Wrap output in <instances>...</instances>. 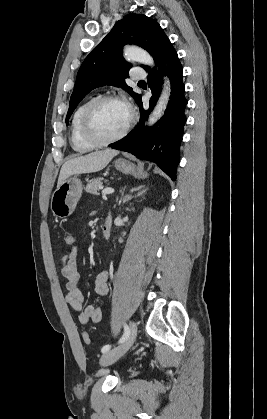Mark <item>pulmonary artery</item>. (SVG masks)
<instances>
[{"label":"pulmonary artery","mask_w":267,"mask_h":419,"mask_svg":"<svg viewBox=\"0 0 267 419\" xmlns=\"http://www.w3.org/2000/svg\"><path fill=\"white\" fill-rule=\"evenodd\" d=\"M130 76L133 80H142L146 77V73L140 68H134L131 70Z\"/></svg>","instance_id":"obj_1"}]
</instances>
